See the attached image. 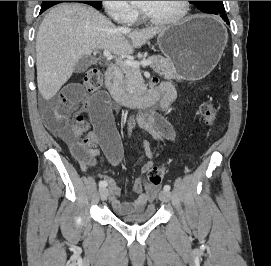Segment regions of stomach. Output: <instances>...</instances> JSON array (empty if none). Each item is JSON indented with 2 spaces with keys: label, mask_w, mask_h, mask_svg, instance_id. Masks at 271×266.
Masks as SVG:
<instances>
[{
  "label": "stomach",
  "mask_w": 271,
  "mask_h": 266,
  "mask_svg": "<svg viewBox=\"0 0 271 266\" xmlns=\"http://www.w3.org/2000/svg\"><path fill=\"white\" fill-rule=\"evenodd\" d=\"M228 34L217 19L196 15L169 26L158 34L161 52L172 61L175 78L196 81L206 77L218 64Z\"/></svg>",
  "instance_id": "0dacf381"
}]
</instances>
